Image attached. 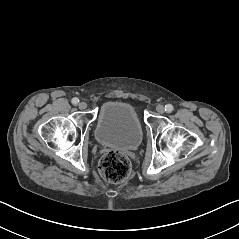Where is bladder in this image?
<instances>
[{"instance_id":"1","label":"bladder","mask_w":239,"mask_h":239,"mask_svg":"<svg viewBox=\"0 0 239 239\" xmlns=\"http://www.w3.org/2000/svg\"><path fill=\"white\" fill-rule=\"evenodd\" d=\"M95 138L99 144L121 150H136L143 130L135 108L128 102H105L98 113Z\"/></svg>"}]
</instances>
